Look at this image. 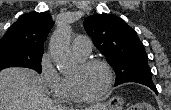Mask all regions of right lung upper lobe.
I'll list each match as a JSON object with an SVG mask.
<instances>
[{"instance_id": "1", "label": "right lung upper lobe", "mask_w": 171, "mask_h": 110, "mask_svg": "<svg viewBox=\"0 0 171 110\" xmlns=\"http://www.w3.org/2000/svg\"><path fill=\"white\" fill-rule=\"evenodd\" d=\"M49 13H27L10 26L0 44H13L33 52H43L44 42L52 27Z\"/></svg>"}]
</instances>
